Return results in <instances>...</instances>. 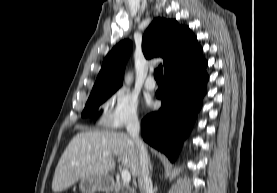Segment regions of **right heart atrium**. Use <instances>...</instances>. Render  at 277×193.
<instances>
[{
    "instance_id": "d8ad5b80",
    "label": "right heart atrium",
    "mask_w": 277,
    "mask_h": 193,
    "mask_svg": "<svg viewBox=\"0 0 277 193\" xmlns=\"http://www.w3.org/2000/svg\"><path fill=\"white\" fill-rule=\"evenodd\" d=\"M138 104L133 95L124 88L115 90L110 98L103 124L110 129H122L138 123Z\"/></svg>"
}]
</instances>
